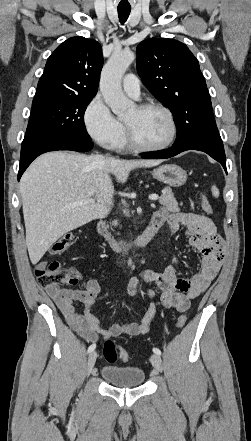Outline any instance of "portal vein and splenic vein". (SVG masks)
Instances as JSON below:
<instances>
[{"label":"portal vein and splenic vein","instance_id":"1","mask_svg":"<svg viewBox=\"0 0 251 441\" xmlns=\"http://www.w3.org/2000/svg\"><path fill=\"white\" fill-rule=\"evenodd\" d=\"M158 198H159V196L157 194H152L149 196V199L152 201H156V200H158ZM92 202H94L93 199L87 198V199L76 201L74 203V205H84V204H88V203H92Z\"/></svg>","mask_w":251,"mask_h":441}]
</instances>
